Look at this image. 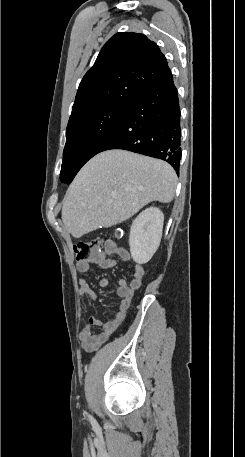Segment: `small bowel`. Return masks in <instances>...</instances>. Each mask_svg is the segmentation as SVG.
Here are the masks:
<instances>
[{"mask_svg":"<svg viewBox=\"0 0 245 457\" xmlns=\"http://www.w3.org/2000/svg\"><path fill=\"white\" fill-rule=\"evenodd\" d=\"M117 255L118 259H113L111 255ZM131 259L129 252L119 247L113 240H107L104 243L101 253L90 260L79 261L77 269L80 272H86L91 265H96L101 268H113L120 264H125ZM132 279L127 282L125 279L118 281L117 295L121 298L117 309L113 312L112 317L108 321H103L97 316H91L88 319L86 326L79 334L82 346L87 351H92L105 343L110 336L118 329L126 317L135 290H137L144 278V269L138 264L131 266ZM100 286L106 288L109 286V281L106 278L101 279ZM80 294L84 298L97 299V294L92 289L90 283L86 279L79 280ZM95 328H99V332L95 333Z\"/></svg>","mask_w":245,"mask_h":457,"instance_id":"1","label":"small bowel"}]
</instances>
